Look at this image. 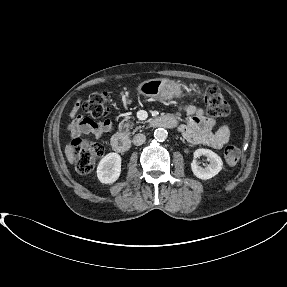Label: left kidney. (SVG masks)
Instances as JSON below:
<instances>
[{"label": "left kidney", "instance_id": "5707ae66", "mask_svg": "<svg viewBox=\"0 0 287 287\" xmlns=\"http://www.w3.org/2000/svg\"><path fill=\"white\" fill-rule=\"evenodd\" d=\"M202 155L206 156L209 160V164L205 168L199 166L196 161V158ZM222 167H223V162L220 156H218L212 150L202 148V149H197L194 152V160L191 163V169H192L193 174L196 177L202 180L210 179L214 177L215 175H217L222 170Z\"/></svg>", "mask_w": 287, "mask_h": 287}]
</instances>
